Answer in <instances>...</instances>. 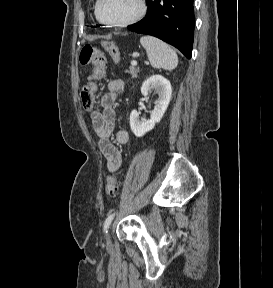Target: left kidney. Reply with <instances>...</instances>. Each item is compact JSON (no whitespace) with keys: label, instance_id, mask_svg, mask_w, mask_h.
<instances>
[{"label":"left kidney","instance_id":"left-kidney-1","mask_svg":"<svg viewBox=\"0 0 273 288\" xmlns=\"http://www.w3.org/2000/svg\"><path fill=\"white\" fill-rule=\"evenodd\" d=\"M151 90H156L159 97L150 119L147 121L140 120L137 110H133L130 114V127L136 137L144 136L155 127L156 123L161 121L171 99V84L161 75H153L143 82L141 86L142 95H147Z\"/></svg>","mask_w":273,"mask_h":288}]
</instances>
